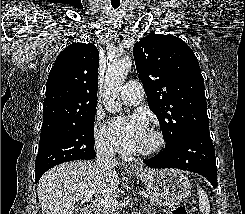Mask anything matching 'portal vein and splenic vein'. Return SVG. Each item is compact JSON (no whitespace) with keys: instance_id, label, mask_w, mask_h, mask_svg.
Instances as JSON below:
<instances>
[{"instance_id":"18ae733b","label":"portal vein and splenic vein","mask_w":245,"mask_h":214,"mask_svg":"<svg viewBox=\"0 0 245 214\" xmlns=\"http://www.w3.org/2000/svg\"><path fill=\"white\" fill-rule=\"evenodd\" d=\"M142 197L148 198V195L144 192L139 193ZM84 199L86 201H92L93 200V195L92 194H87L84 196ZM95 202L97 205L101 207H116L118 205V202L115 198L105 196V197H99L95 199Z\"/></svg>"}]
</instances>
